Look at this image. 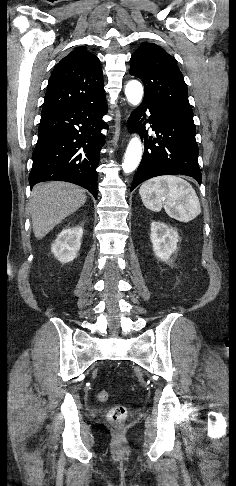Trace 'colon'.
Here are the masks:
<instances>
[{"label":"colon","instance_id":"5ec220e1","mask_svg":"<svg viewBox=\"0 0 236 486\" xmlns=\"http://www.w3.org/2000/svg\"><path fill=\"white\" fill-rule=\"evenodd\" d=\"M109 398V393L107 390H100L97 393V399L100 402H105ZM127 417V409L122 405L114 406L108 413V419L111 423L116 426H120L123 424Z\"/></svg>","mask_w":236,"mask_h":486}]
</instances>
